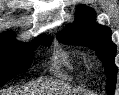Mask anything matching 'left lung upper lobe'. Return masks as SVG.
<instances>
[{"label":"left lung upper lobe","mask_w":119,"mask_h":95,"mask_svg":"<svg viewBox=\"0 0 119 95\" xmlns=\"http://www.w3.org/2000/svg\"><path fill=\"white\" fill-rule=\"evenodd\" d=\"M57 39L65 44L84 45L92 48L103 62L107 81L108 95H114L117 67L114 64L116 46L111 41V30L95 22V11L90 7H81L76 12V20L69 24Z\"/></svg>","instance_id":"left-lung-upper-lobe-1"}]
</instances>
